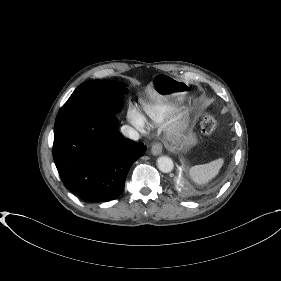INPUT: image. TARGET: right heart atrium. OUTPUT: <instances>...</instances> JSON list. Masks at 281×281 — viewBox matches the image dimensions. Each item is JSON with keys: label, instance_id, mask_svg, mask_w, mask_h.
Listing matches in <instances>:
<instances>
[{"label": "right heart atrium", "instance_id": "obj_1", "mask_svg": "<svg viewBox=\"0 0 281 281\" xmlns=\"http://www.w3.org/2000/svg\"><path fill=\"white\" fill-rule=\"evenodd\" d=\"M128 117L130 121L138 128H141L143 126L142 122L139 119L138 112L135 109L129 110Z\"/></svg>", "mask_w": 281, "mask_h": 281}]
</instances>
